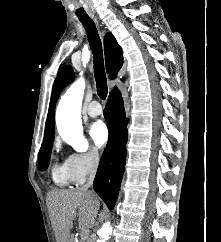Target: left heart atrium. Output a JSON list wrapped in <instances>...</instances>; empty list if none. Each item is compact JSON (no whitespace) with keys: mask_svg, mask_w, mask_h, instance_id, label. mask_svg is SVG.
I'll return each instance as SVG.
<instances>
[{"mask_svg":"<svg viewBox=\"0 0 221 242\" xmlns=\"http://www.w3.org/2000/svg\"><path fill=\"white\" fill-rule=\"evenodd\" d=\"M90 136L97 146L101 147L105 145L109 138V130L107 125L102 121L93 123L90 128Z\"/></svg>","mask_w":221,"mask_h":242,"instance_id":"1","label":"left heart atrium"}]
</instances>
